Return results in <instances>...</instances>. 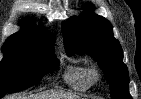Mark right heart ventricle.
<instances>
[{"mask_svg":"<svg viewBox=\"0 0 141 99\" xmlns=\"http://www.w3.org/2000/svg\"><path fill=\"white\" fill-rule=\"evenodd\" d=\"M63 78L66 84L76 91H85L92 84L88 76V67L81 64L69 65Z\"/></svg>","mask_w":141,"mask_h":99,"instance_id":"right-heart-ventricle-1","label":"right heart ventricle"}]
</instances>
